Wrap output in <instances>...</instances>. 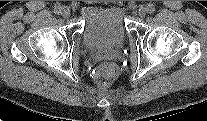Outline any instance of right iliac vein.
Listing matches in <instances>:
<instances>
[{
  "mask_svg": "<svg viewBox=\"0 0 207 121\" xmlns=\"http://www.w3.org/2000/svg\"><path fill=\"white\" fill-rule=\"evenodd\" d=\"M62 16L64 18H68L70 16V10L68 8H66V7H63L62 8Z\"/></svg>",
  "mask_w": 207,
  "mask_h": 121,
  "instance_id": "obj_1",
  "label": "right iliac vein"
}]
</instances>
